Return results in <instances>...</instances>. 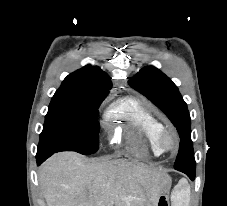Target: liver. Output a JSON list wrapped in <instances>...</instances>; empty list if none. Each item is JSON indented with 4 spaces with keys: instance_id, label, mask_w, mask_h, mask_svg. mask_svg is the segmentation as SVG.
Listing matches in <instances>:
<instances>
[{
    "instance_id": "liver-1",
    "label": "liver",
    "mask_w": 227,
    "mask_h": 206,
    "mask_svg": "<svg viewBox=\"0 0 227 206\" xmlns=\"http://www.w3.org/2000/svg\"><path fill=\"white\" fill-rule=\"evenodd\" d=\"M47 206H156L171 178L129 161H89L74 152L50 157L38 173Z\"/></svg>"
}]
</instances>
